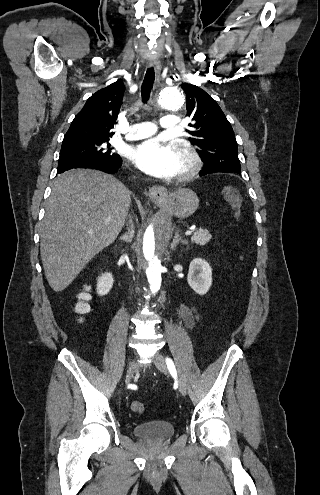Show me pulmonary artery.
<instances>
[{"mask_svg":"<svg viewBox=\"0 0 320 495\" xmlns=\"http://www.w3.org/2000/svg\"><path fill=\"white\" fill-rule=\"evenodd\" d=\"M160 126L167 131H174L178 127V119L175 116L167 115L160 119ZM157 131L156 126L151 122L136 123L131 126L126 136L128 140H138L147 138Z\"/></svg>","mask_w":320,"mask_h":495,"instance_id":"pulmonary-artery-1","label":"pulmonary artery"}]
</instances>
